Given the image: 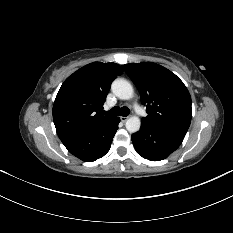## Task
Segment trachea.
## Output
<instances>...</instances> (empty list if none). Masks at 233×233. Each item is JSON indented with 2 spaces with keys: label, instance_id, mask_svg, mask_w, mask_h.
<instances>
[{
  "label": "trachea",
  "instance_id": "trachea-1",
  "mask_svg": "<svg viewBox=\"0 0 233 233\" xmlns=\"http://www.w3.org/2000/svg\"><path fill=\"white\" fill-rule=\"evenodd\" d=\"M130 113V110L128 109V107H118L115 106L113 107L110 111L104 112L105 115H110V116H128Z\"/></svg>",
  "mask_w": 233,
  "mask_h": 233
}]
</instances>
